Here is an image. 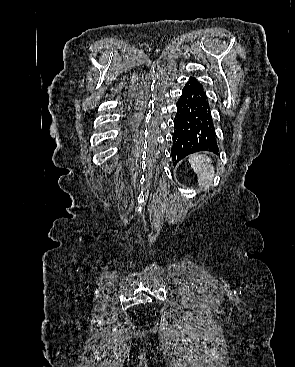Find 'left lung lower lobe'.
<instances>
[{"label": "left lung lower lobe", "instance_id": "obj_1", "mask_svg": "<svg viewBox=\"0 0 295 367\" xmlns=\"http://www.w3.org/2000/svg\"><path fill=\"white\" fill-rule=\"evenodd\" d=\"M171 156L176 165L189 154L218 152L211 106L203 86L191 77L177 102Z\"/></svg>", "mask_w": 295, "mask_h": 367}]
</instances>
